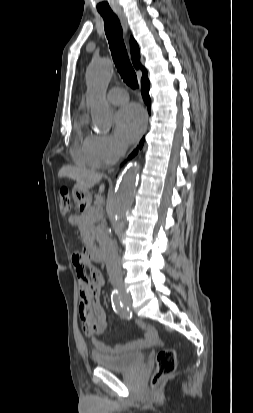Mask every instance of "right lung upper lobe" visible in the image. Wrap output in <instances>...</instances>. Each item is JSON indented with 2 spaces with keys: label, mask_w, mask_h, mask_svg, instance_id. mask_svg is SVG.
<instances>
[{
  "label": "right lung upper lobe",
  "mask_w": 253,
  "mask_h": 413,
  "mask_svg": "<svg viewBox=\"0 0 253 413\" xmlns=\"http://www.w3.org/2000/svg\"><path fill=\"white\" fill-rule=\"evenodd\" d=\"M130 49H131V56L132 62L136 69L141 68L143 75L147 73L146 69L140 65V54H139V47L136 41L131 38L130 39Z\"/></svg>",
  "instance_id": "right-lung-upper-lobe-1"
}]
</instances>
